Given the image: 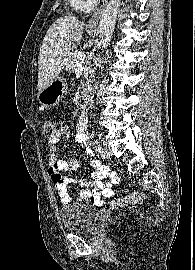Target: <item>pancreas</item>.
Returning <instances> with one entry per match:
<instances>
[{
    "instance_id": "pancreas-1",
    "label": "pancreas",
    "mask_w": 195,
    "mask_h": 270,
    "mask_svg": "<svg viewBox=\"0 0 195 270\" xmlns=\"http://www.w3.org/2000/svg\"><path fill=\"white\" fill-rule=\"evenodd\" d=\"M76 52H81V51L77 50V51L71 53V55L67 61V65H66V69L68 71H74L76 69V64L78 63V61L75 59Z\"/></svg>"
}]
</instances>
